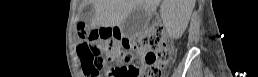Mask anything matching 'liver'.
I'll return each instance as SVG.
<instances>
[{
  "label": "liver",
  "instance_id": "1",
  "mask_svg": "<svg viewBox=\"0 0 258 77\" xmlns=\"http://www.w3.org/2000/svg\"><path fill=\"white\" fill-rule=\"evenodd\" d=\"M161 0H95L94 27L120 26L134 8H142L151 15ZM195 0H164L162 8H173L183 25H187Z\"/></svg>",
  "mask_w": 258,
  "mask_h": 77
}]
</instances>
